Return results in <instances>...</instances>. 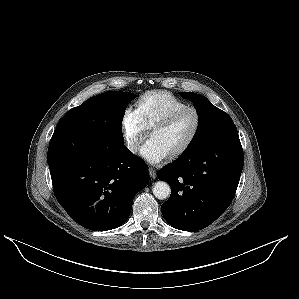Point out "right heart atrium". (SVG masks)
<instances>
[{
    "label": "right heart atrium",
    "instance_id": "obj_1",
    "mask_svg": "<svg viewBox=\"0 0 299 299\" xmlns=\"http://www.w3.org/2000/svg\"><path fill=\"white\" fill-rule=\"evenodd\" d=\"M121 129L126 148L131 153L138 152L141 143L148 133V129L135 110L128 108L124 111Z\"/></svg>",
    "mask_w": 299,
    "mask_h": 299
}]
</instances>
